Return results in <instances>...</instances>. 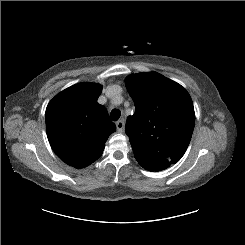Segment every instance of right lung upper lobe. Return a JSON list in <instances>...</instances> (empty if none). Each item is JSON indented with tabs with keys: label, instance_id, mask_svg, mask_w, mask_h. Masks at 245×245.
Here are the masks:
<instances>
[{
	"label": "right lung upper lobe",
	"instance_id": "1",
	"mask_svg": "<svg viewBox=\"0 0 245 245\" xmlns=\"http://www.w3.org/2000/svg\"><path fill=\"white\" fill-rule=\"evenodd\" d=\"M102 86L78 83L56 95L46 108V131L55 154L66 164L84 168L97 160L116 130L97 103Z\"/></svg>",
	"mask_w": 245,
	"mask_h": 245
}]
</instances>
